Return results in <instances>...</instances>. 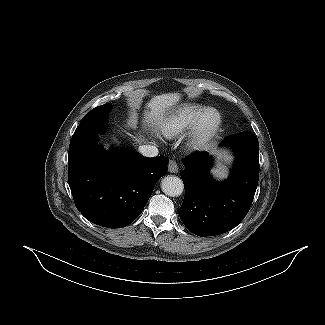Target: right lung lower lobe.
I'll return each mask as SVG.
<instances>
[{
	"instance_id": "obj_1",
	"label": "right lung lower lobe",
	"mask_w": 325,
	"mask_h": 325,
	"mask_svg": "<svg viewBox=\"0 0 325 325\" xmlns=\"http://www.w3.org/2000/svg\"><path fill=\"white\" fill-rule=\"evenodd\" d=\"M98 134L72 136L68 181L75 205L90 222L108 228L129 225L143 211L168 158H145L125 147L104 152Z\"/></svg>"
}]
</instances>
